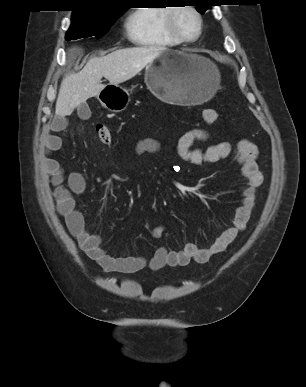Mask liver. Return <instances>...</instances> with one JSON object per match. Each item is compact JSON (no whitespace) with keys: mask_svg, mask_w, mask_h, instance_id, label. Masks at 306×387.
<instances>
[{"mask_svg":"<svg viewBox=\"0 0 306 387\" xmlns=\"http://www.w3.org/2000/svg\"><path fill=\"white\" fill-rule=\"evenodd\" d=\"M163 47H133L116 50L104 57L91 58L78 73H70L61 82L55 113L58 116L70 115L87 99L97 96L106 85H118L136 76L144 67L154 61Z\"/></svg>","mask_w":306,"mask_h":387,"instance_id":"1","label":"liver"}]
</instances>
